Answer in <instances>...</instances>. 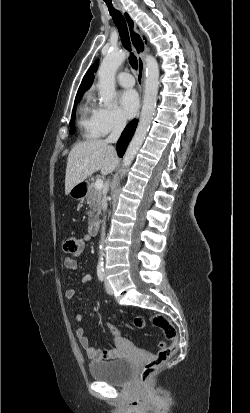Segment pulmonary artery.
<instances>
[{
	"instance_id": "1",
	"label": "pulmonary artery",
	"mask_w": 250,
	"mask_h": 413,
	"mask_svg": "<svg viewBox=\"0 0 250 413\" xmlns=\"http://www.w3.org/2000/svg\"><path fill=\"white\" fill-rule=\"evenodd\" d=\"M117 81L118 83L126 88L133 87L134 85V78L130 73L127 72H121L117 75Z\"/></svg>"
}]
</instances>
